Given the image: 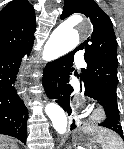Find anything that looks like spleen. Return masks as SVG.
Listing matches in <instances>:
<instances>
[{
    "label": "spleen",
    "mask_w": 124,
    "mask_h": 149,
    "mask_svg": "<svg viewBox=\"0 0 124 149\" xmlns=\"http://www.w3.org/2000/svg\"><path fill=\"white\" fill-rule=\"evenodd\" d=\"M98 139L102 145V149H121V142L117 136L111 138L99 136Z\"/></svg>",
    "instance_id": "1"
}]
</instances>
